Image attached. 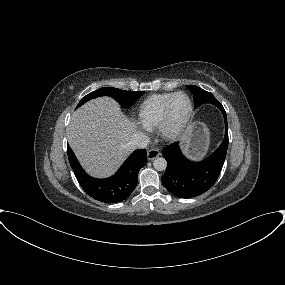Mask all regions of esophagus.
<instances>
[{
  "label": "esophagus",
  "instance_id": "obj_1",
  "mask_svg": "<svg viewBox=\"0 0 285 285\" xmlns=\"http://www.w3.org/2000/svg\"><path fill=\"white\" fill-rule=\"evenodd\" d=\"M160 155V151L158 148H151L147 151V159L154 160Z\"/></svg>",
  "mask_w": 285,
  "mask_h": 285
}]
</instances>
